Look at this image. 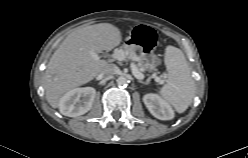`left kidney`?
<instances>
[{
	"label": "left kidney",
	"instance_id": "obj_1",
	"mask_svg": "<svg viewBox=\"0 0 248 158\" xmlns=\"http://www.w3.org/2000/svg\"><path fill=\"white\" fill-rule=\"evenodd\" d=\"M143 102L150 113L159 120H171L174 118V111L171 106L157 94H146Z\"/></svg>",
	"mask_w": 248,
	"mask_h": 158
}]
</instances>
